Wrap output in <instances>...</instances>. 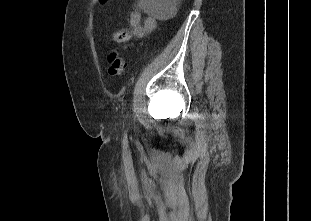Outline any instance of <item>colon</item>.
<instances>
[{"instance_id":"colon-1","label":"colon","mask_w":311,"mask_h":221,"mask_svg":"<svg viewBox=\"0 0 311 221\" xmlns=\"http://www.w3.org/2000/svg\"><path fill=\"white\" fill-rule=\"evenodd\" d=\"M99 7L102 4H107L108 0H97ZM117 41H126L127 32L125 30L118 31L114 35ZM108 73L111 76L120 77L126 74V63L123 58L119 57L117 53H111L108 59Z\"/></svg>"}]
</instances>
